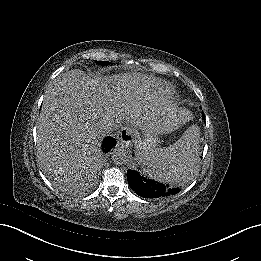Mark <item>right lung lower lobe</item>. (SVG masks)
Masks as SVG:
<instances>
[{"instance_id": "98d812e1", "label": "right lung lower lobe", "mask_w": 261, "mask_h": 261, "mask_svg": "<svg viewBox=\"0 0 261 261\" xmlns=\"http://www.w3.org/2000/svg\"><path fill=\"white\" fill-rule=\"evenodd\" d=\"M116 140L112 137L105 138L103 142V151L108 152L114 145Z\"/></svg>"}]
</instances>
